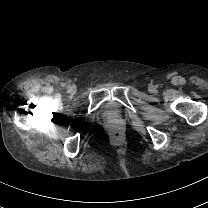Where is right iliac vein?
<instances>
[{
    "instance_id": "obj_1",
    "label": "right iliac vein",
    "mask_w": 208,
    "mask_h": 208,
    "mask_svg": "<svg viewBox=\"0 0 208 208\" xmlns=\"http://www.w3.org/2000/svg\"><path fill=\"white\" fill-rule=\"evenodd\" d=\"M68 91H69L70 94L73 95V94L76 93V87L72 85V86L69 87V90Z\"/></svg>"
}]
</instances>
